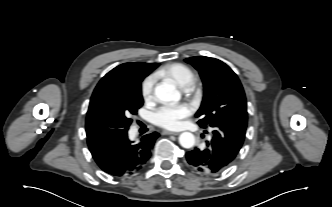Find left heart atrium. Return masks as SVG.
<instances>
[{"instance_id":"left-heart-atrium-1","label":"left heart atrium","mask_w":332,"mask_h":207,"mask_svg":"<svg viewBox=\"0 0 332 207\" xmlns=\"http://www.w3.org/2000/svg\"><path fill=\"white\" fill-rule=\"evenodd\" d=\"M192 113L186 104L165 105L158 108L152 115L153 122L165 129H178L182 122Z\"/></svg>"}]
</instances>
